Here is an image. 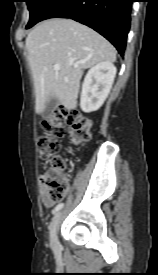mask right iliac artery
<instances>
[{
    "instance_id": "right-iliac-artery-1",
    "label": "right iliac artery",
    "mask_w": 158,
    "mask_h": 275,
    "mask_svg": "<svg viewBox=\"0 0 158 275\" xmlns=\"http://www.w3.org/2000/svg\"><path fill=\"white\" fill-rule=\"evenodd\" d=\"M63 203H59L52 211L53 214H55L57 211H59L60 209H62L63 207Z\"/></svg>"
}]
</instances>
